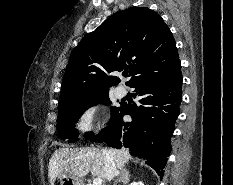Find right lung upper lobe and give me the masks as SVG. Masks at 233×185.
<instances>
[{
  "instance_id": "right-lung-upper-lobe-1",
  "label": "right lung upper lobe",
  "mask_w": 233,
  "mask_h": 185,
  "mask_svg": "<svg viewBox=\"0 0 233 185\" xmlns=\"http://www.w3.org/2000/svg\"><path fill=\"white\" fill-rule=\"evenodd\" d=\"M178 59L176 43L163 19L146 7L120 11L86 35L72 51L62 81L59 106L108 91L120 80L110 74L129 68V85L150 69Z\"/></svg>"
}]
</instances>
